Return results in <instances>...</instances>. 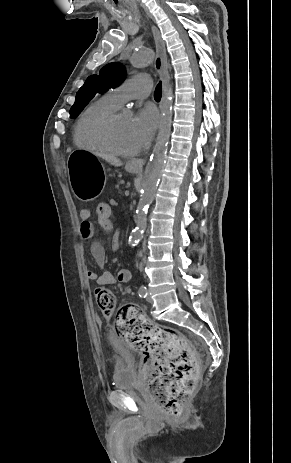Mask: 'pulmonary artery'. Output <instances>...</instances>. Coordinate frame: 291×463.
<instances>
[{
    "instance_id": "obj_1",
    "label": "pulmonary artery",
    "mask_w": 291,
    "mask_h": 463,
    "mask_svg": "<svg viewBox=\"0 0 291 463\" xmlns=\"http://www.w3.org/2000/svg\"><path fill=\"white\" fill-rule=\"evenodd\" d=\"M152 79L149 75L140 74L126 80L123 84L110 90L112 100L121 106L128 100L143 99L150 95Z\"/></svg>"
}]
</instances>
